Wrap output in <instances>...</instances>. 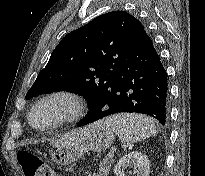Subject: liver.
<instances>
[{"label":"liver","instance_id":"liver-1","mask_svg":"<svg viewBox=\"0 0 205 176\" xmlns=\"http://www.w3.org/2000/svg\"><path fill=\"white\" fill-rule=\"evenodd\" d=\"M90 131V127H84L80 129L73 130L60 139L54 142V145L59 148L70 147L75 144L81 143L87 136Z\"/></svg>","mask_w":205,"mask_h":176}]
</instances>
